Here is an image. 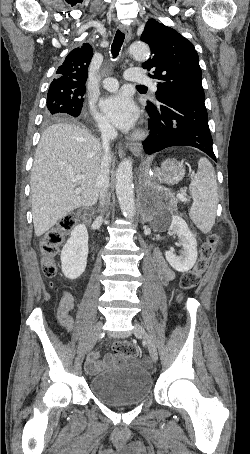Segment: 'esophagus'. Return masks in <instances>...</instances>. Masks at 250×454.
<instances>
[{"instance_id": "1", "label": "esophagus", "mask_w": 250, "mask_h": 454, "mask_svg": "<svg viewBox=\"0 0 250 454\" xmlns=\"http://www.w3.org/2000/svg\"><path fill=\"white\" fill-rule=\"evenodd\" d=\"M119 28H120V30L122 32L125 33L126 40L130 41V39L132 38V29H131V27L128 26V25L121 24ZM128 148L133 153V155H135V156H140L141 155L142 147H141L140 143H130L128 145ZM120 155H122V154L120 153Z\"/></svg>"}]
</instances>
